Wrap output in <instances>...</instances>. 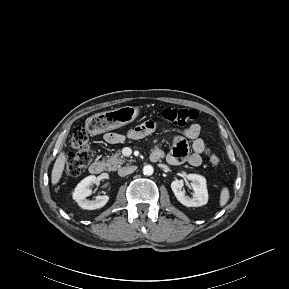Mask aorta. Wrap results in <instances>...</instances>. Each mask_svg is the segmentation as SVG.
Wrapping results in <instances>:
<instances>
[{"label": "aorta", "instance_id": "1", "mask_svg": "<svg viewBox=\"0 0 289 289\" xmlns=\"http://www.w3.org/2000/svg\"><path fill=\"white\" fill-rule=\"evenodd\" d=\"M153 172H154V169L151 165H146L143 167V174L144 175L150 176L153 174Z\"/></svg>", "mask_w": 289, "mask_h": 289}]
</instances>
